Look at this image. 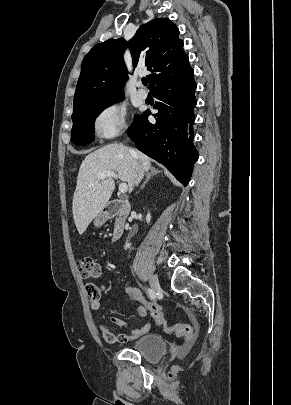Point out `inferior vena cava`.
<instances>
[{"mask_svg": "<svg viewBox=\"0 0 291 405\" xmlns=\"http://www.w3.org/2000/svg\"><path fill=\"white\" fill-rule=\"evenodd\" d=\"M142 177H143V169L139 165V163L136 162L134 184L138 185L139 182L141 181Z\"/></svg>", "mask_w": 291, "mask_h": 405, "instance_id": "602c4592", "label": "inferior vena cava"}]
</instances>
